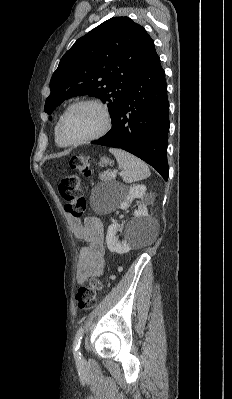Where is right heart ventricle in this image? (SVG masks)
<instances>
[{"label": "right heart ventricle", "mask_w": 232, "mask_h": 399, "mask_svg": "<svg viewBox=\"0 0 232 399\" xmlns=\"http://www.w3.org/2000/svg\"><path fill=\"white\" fill-rule=\"evenodd\" d=\"M60 119V118H59ZM59 119L56 121L55 127H54V139L55 143L57 144L58 147L66 149L69 148L71 145L66 143L60 136L59 131H58V124H59Z\"/></svg>", "instance_id": "1"}]
</instances>
